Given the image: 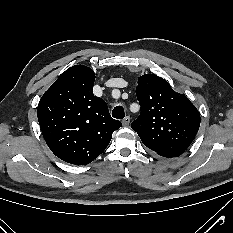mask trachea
Instances as JSON below:
<instances>
[{
  "mask_svg": "<svg viewBox=\"0 0 233 233\" xmlns=\"http://www.w3.org/2000/svg\"><path fill=\"white\" fill-rule=\"evenodd\" d=\"M112 116L116 119H123L125 117L124 109L122 106H116L112 111Z\"/></svg>",
  "mask_w": 233,
  "mask_h": 233,
  "instance_id": "1",
  "label": "trachea"
}]
</instances>
